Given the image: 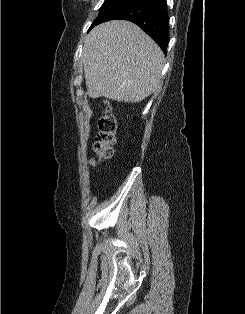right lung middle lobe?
<instances>
[{
    "mask_svg": "<svg viewBox=\"0 0 245 314\" xmlns=\"http://www.w3.org/2000/svg\"><path fill=\"white\" fill-rule=\"evenodd\" d=\"M126 1L127 0H105L100 9L99 15L92 23L90 29L99 24L108 14H110L113 10H115Z\"/></svg>",
    "mask_w": 245,
    "mask_h": 314,
    "instance_id": "obj_1",
    "label": "right lung middle lobe"
}]
</instances>
